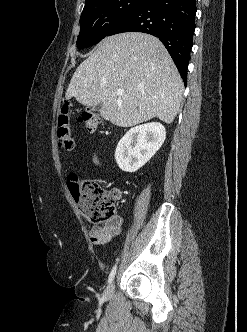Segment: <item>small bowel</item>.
I'll list each match as a JSON object with an SVG mask.
<instances>
[{
  "instance_id": "1",
  "label": "small bowel",
  "mask_w": 247,
  "mask_h": 332,
  "mask_svg": "<svg viewBox=\"0 0 247 332\" xmlns=\"http://www.w3.org/2000/svg\"><path fill=\"white\" fill-rule=\"evenodd\" d=\"M94 162L99 164L97 158H94ZM115 200H119L122 196L120 189L112 190ZM123 225V217L115 215L112 219L103 225H96L90 229L89 235L93 244L102 245L109 242L113 237L120 234Z\"/></svg>"
}]
</instances>
